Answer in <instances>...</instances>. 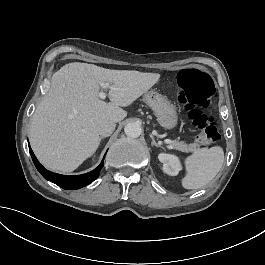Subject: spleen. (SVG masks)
I'll list each match as a JSON object with an SVG mask.
<instances>
[{
    "label": "spleen",
    "instance_id": "spleen-1",
    "mask_svg": "<svg viewBox=\"0 0 265 265\" xmlns=\"http://www.w3.org/2000/svg\"><path fill=\"white\" fill-rule=\"evenodd\" d=\"M224 162V151L220 145L193 151L183 159L185 176L181 185L185 189L200 188L218 174Z\"/></svg>",
    "mask_w": 265,
    "mask_h": 265
}]
</instances>
